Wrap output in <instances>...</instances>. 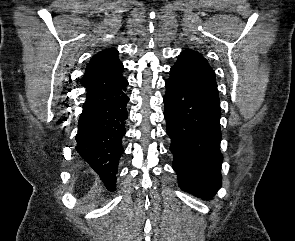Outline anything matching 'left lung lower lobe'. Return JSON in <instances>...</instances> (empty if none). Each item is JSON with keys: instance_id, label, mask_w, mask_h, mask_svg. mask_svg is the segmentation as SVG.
<instances>
[{"instance_id": "obj_1", "label": "left lung lower lobe", "mask_w": 295, "mask_h": 241, "mask_svg": "<svg viewBox=\"0 0 295 241\" xmlns=\"http://www.w3.org/2000/svg\"><path fill=\"white\" fill-rule=\"evenodd\" d=\"M170 73L165 83L164 116L173 169L181 189L209 200L221 187L220 102Z\"/></svg>"}]
</instances>
